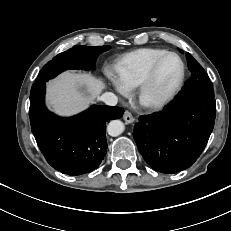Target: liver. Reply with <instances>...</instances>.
I'll return each mask as SVG.
<instances>
[{
  "label": "liver",
  "instance_id": "liver-1",
  "mask_svg": "<svg viewBox=\"0 0 231 231\" xmlns=\"http://www.w3.org/2000/svg\"><path fill=\"white\" fill-rule=\"evenodd\" d=\"M105 88L104 82L88 73L64 72L47 88L48 107L60 116H72L86 109Z\"/></svg>",
  "mask_w": 231,
  "mask_h": 231
}]
</instances>
